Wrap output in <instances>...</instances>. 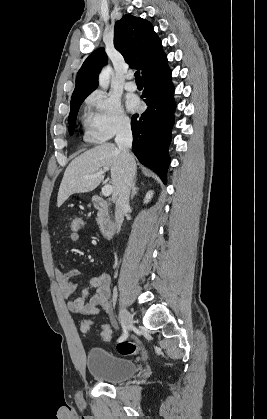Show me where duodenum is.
Segmentation results:
<instances>
[{
	"label": "duodenum",
	"instance_id": "410a0bca",
	"mask_svg": "<svg viewBox=\"0 0 267 419\" xmlns=\"http://www.w3.org/2000/svg\"><path fill=\"white\" fill-rule=\"evenodd\" d=\"M92 204L93 206L101 213L102 215V223H101V233L103 237L109 238L112 236L116 223L112 215V210L106 200H104L100 196H93L92 197Z\"/></svg>",
	"mask_w": 267,
	"mask_h": 419
}]
</instances>
